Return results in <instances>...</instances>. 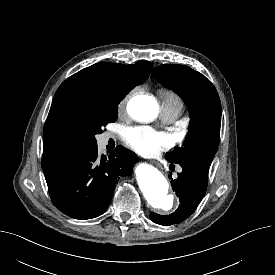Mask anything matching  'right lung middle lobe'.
Returning <instances> with one entry per match:
<instances>
[{
	"mask_svg": "<svg viewBox=\"0 0 275 275\" xmlns=\"http://www.w3.org/2000/svg\"><path fill=\"white\" fill-rule=\"evenodd\" d=\"M118 106L70 108L64 111L61 120L64 128L81 149L96 147L95 135L117 119Z\"/></svg>",
	"mask_w": 275,
	"mask_h": 275,
	"instance_id": "right-lung-middle-lobe-1",
	"label": "right lung middle lobe"
}]
</instances>
